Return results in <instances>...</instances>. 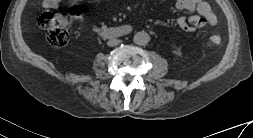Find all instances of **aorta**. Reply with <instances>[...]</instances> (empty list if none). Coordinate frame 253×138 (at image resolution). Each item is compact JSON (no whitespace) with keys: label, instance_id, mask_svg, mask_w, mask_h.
I'll return each mask as SVG.
<instances>
[{"label":"aorta","instance_id":"762f6f07","mask_svg":"<svg viewBox=\"0 0 253 138\" xmlns=\"http://www.w3.org/2000/svg\"><path fill=\"white\" fill-rule=\"evenodd\" d=\"M133 40L137 45L144 46L149 42L150 37L146 32L141 31V32H137L134 35Z\"/></svg>","mask_w":253,"mask_h":138}]
</instances>
